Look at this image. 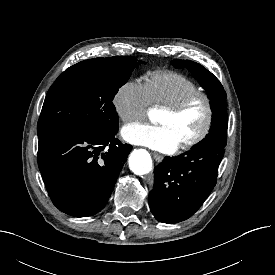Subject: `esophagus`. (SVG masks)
<instances>
[{
	"label": "esophagus",
	"mask_w": 275,
	"mask_h": 275,
	"mask_svg": "<svg viewBox=\"0 0 275 275\" xmlns=\"http://www.w3.org/2000/svg\"><path fill=\"white\" fill-rule=\"evenodd\" d=\"M152 155H153L154 159H155L157 162H161V161L163 160V156H161V155L158 154V153H155V152H154Z\"/></svg>",
	"instance_id": "obj_1"
}]
</instances>
